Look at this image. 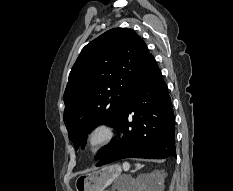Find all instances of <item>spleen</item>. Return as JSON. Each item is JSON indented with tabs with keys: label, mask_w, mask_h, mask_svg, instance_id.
Instances as JSON below:
<instances>
[{
	"label": "spleen",
	"mask_w": 233,
	"mask_h": 191,
	"mask_svg": "<svg viewBox=\"0 0 233 191\" xmlns=\"http://www.w3.org/2000/svg\"><path fill=\"white\" fill-rule=\"evenodd\" d=\"M129 168H130V164L128 162H124L123 169L127 171Z\"/></svg>",
	"instance_id": "obj_1"
}]
</instances>
